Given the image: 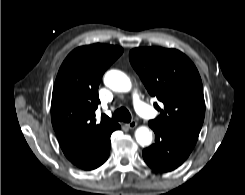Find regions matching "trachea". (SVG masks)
I'll use <instances>...</instances> for the list:
<instances>
[{"mask_svg": "<svg viewBox=\"0 0 245 195\" xmlns=\"http://www.w3.org/2000/svg\"><path fill=\"white\" fill-rule=\"evenodd\" d=\"M113 119L117 121H123V122H130L131 121V114L126 108H119L117 109L113 114Z\"/></svg>", "mask_w": 245, "mask_h": 195, "instance_id": "3493384b", "label": "trachea"}]
</instances>
